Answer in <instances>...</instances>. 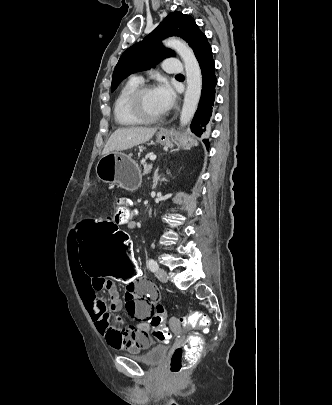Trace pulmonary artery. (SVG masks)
I'll list each match as a JSON object with an SVG mask.
<instances>
[{"label": "pulmonary artery", "instance_id": "pulmonary-artery-1", "mask_svg": "<svg viewBox=\"0 0 332 405\" xmlns=\"http://www.w3.org/2000/svg\"><path fill=\"white\" fill-rule=\"evenodd\" d=\"M163 70L169 74L179 75L182 73L183 67L178 59L168 58L163 63ZM132 79L140 83L143 81V78L139 75H135Z\"/></svg>", "mask_w": 332, "mask_h": 405}]
</instances>
